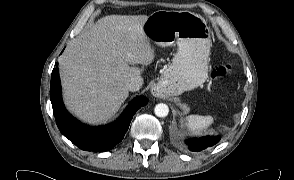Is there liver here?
<instances>
[{"label": "liver", "mask_w": 294, "mask_h": 180, "mask_svg": "<svg viewBox=\"0 0 294 180\" xmlns=\"http://www.w3.org/2000/svg\"><path fill=\"white\" fill-rule=\"evenodd\" d=\"M147 18L105 16L71 40L59 57L65 104L82 121L100 124L111 118L129 96L127 82L153 61L143 31Z\"/></svg>", "instance_id": "liver-1"}]
</instances>
